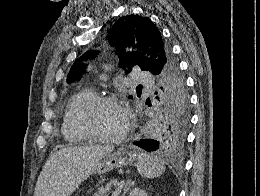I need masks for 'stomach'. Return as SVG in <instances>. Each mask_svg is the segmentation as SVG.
<instances>
[{
  "mask_svg": "<svg viewBox=\"0 0 260 196\" xmlns=\"http://www.w3.org/2000/svg\"><path fill=\"white\" fill-rule=\"evenodd\" d=\"M137 162V154L133 150H126V148H119L117 152L106 154L98 162V166L94 174H105L114 168H124V166H135Z\"/></svg>",
  "mask_w": 260,
  "mask_h": 196,
  "instance_id": "obj_1",
  "label": "stomach"
}]
</instances>
